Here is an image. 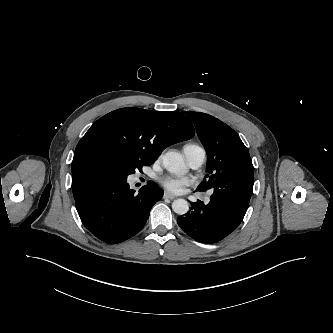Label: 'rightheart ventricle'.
Listing matches in <instances>:
<instances>
[{"label":"right heart ventricle","instance_id":"1","mask_svg":"<svg viewBox=\"0 0 333 333\" xmlns=\"http://www.w3.org/2000/svg\"><path fill=\"white\" fill-rule=\"evenodd\" d=\"M199 146L195 145V144H187L184 146V152L188 151V150H191V149H194V148H197Z\"/></svg>","mask_w":333,"mask_h":333}]
</instances>
